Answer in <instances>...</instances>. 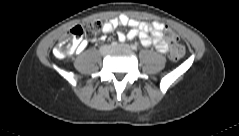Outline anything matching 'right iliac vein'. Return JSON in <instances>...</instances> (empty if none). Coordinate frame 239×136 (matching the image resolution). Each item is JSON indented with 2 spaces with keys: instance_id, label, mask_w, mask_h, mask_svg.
<instances>
[{
  "instance_id": "63e3f726",
  "label": "right iliac vein",
  "mask_w": 239,
  "mask_h": 136,
  "mask_svg": "<svg viewBox=\"0 0 239 136\" xmlns=\"http://www.w3.org/2000/svg\"><path fill=\"white\" fill-rule=\"evenodd\" d=\"M111 49V46L109 45H103L101 48H100V53L101 54H105L106 52H108L109 50Z\"/></svg>"
}]
</instances>
